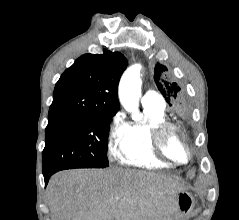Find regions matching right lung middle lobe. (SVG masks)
<instances>
[{
  "mask_svg": "<svg viewBox=\"0 0 239 220\" xmlns=\"http://www.w3.org/2000/svg\"><path fill=\"white\" fill-rule=\"evenodd\" d=\"M115 114L48 117L42 152L43 175L70 168L108 167L106 150L111 117Z\"/></svg>",
  "mask_w": 239,
  "mask_h": 220,
  "instance_id": "dd1d6c3e",
  "label": "right lung middle lobe"
}]
</instances>
